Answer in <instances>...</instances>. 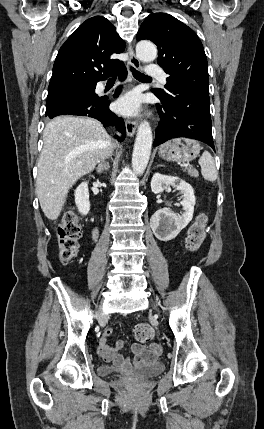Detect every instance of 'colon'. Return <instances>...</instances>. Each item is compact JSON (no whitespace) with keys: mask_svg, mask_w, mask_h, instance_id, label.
Masks as SVG:
<instances>
[{"mask_svg":"<svg viewBox=\"0 0 264 429\" xmlns=\"http://www.w3.org/2000/svg\"><path fill=\"white\" fill-rule=\"evenodd\" d=\"M207 217L200 214L190 226L186 237V247L190 251H196L205 238V225ZM59 256L63 263L71 262L79 250V240L82 236L78 217L75 213H67L57 229ZM134 338L139 343H146L154 336L152 327L146 323L137 324L133 330Z\"/></svg>","mask_w":264,"mask_h":429,"instance_id":"5ec220e1","label":"colon"}]
</instances>
